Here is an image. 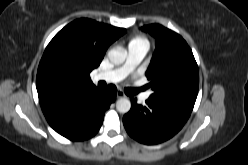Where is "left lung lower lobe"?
Instances as JSON below:
<instances>
[{
	"instance_id": "1",
	"label": "left lung lower lobe",
	"mask_w": 248,
	"mask_h": 165,
	"mask_svg": "<svg viewBox=\"0 0 248 165\" xmlns=\"http://www.w3.org/2000/svg\"><path fill=\"white\" fill-rule=\"evenodd\" d=\"M191 112L163 104L159 101H146L138 105L131 99V109L124 115L123 124L127 133L143 144L152 145L173 137L186 123Z\"/></svg>"
}]
</instances>
